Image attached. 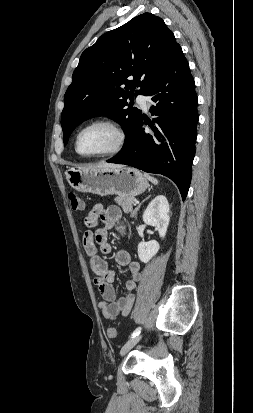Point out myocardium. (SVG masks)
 <instances>
[{
  "label": "myocardium",
  "mask_w": 253,
  "mask_h": 413,
  "mask_svg": "<svg viewBox=\"0 0 253 413\" xmlns=\"http://www.w3.org/2000/svg\"><path fill=\"white\" fill-rule=\"evenodd\" d=\"M95 125H105L109 128H111L115 134L117 135V142L115 144V146L105 152L102 153H97V154H83L82 152H80L79 150V138L80 135L82 134V132L84 130H86L89 127L95 126ZM127 142V134L124 130V128L115 120L110 119V118H97L94 119L92 121H89L88 123H86L85 125H83L77 132L76 136H75V142H74V146H75V151L77 152V154H79L80 156L84 157V158H100V157H107V156H112L115 155L119 152H121Z\"/></svg>",
  "instance_id": "f54148a6"
}]
</instances>
